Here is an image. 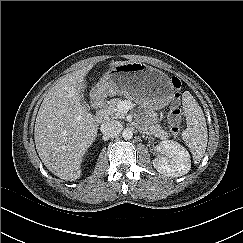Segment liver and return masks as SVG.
Returning a JSON list of instances; mask_svg holds the SVG:
<instances>
[{
	"label": "liver",
	"mask_w": 243,
	"mask_h": 243,
	"mask_svg": "<svg viewBox=\"0 0 243 243\" xmlns=\"http://www.w3.org/2000/svg\"><path fill=\"white\" fill-rule=\"evenodd\" d=\"M131 61H116L110 67ZM93 64L64 76L44 98L38 111L34 139L40 159L55 176L75 181L82 158L97 136L93 115L82 104V81Z\"/></svg>",
	"instance_id": "liver-1"
}]
</instances>
